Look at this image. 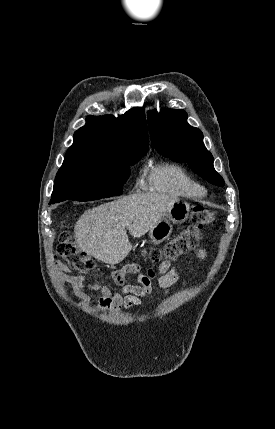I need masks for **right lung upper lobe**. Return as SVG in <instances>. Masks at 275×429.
<instances>
[{"mask_svg": "<svg viewBox=\"0 0 275 429\" xmlns=\"http://www.w3.org/2000/svg\"><path fill=\"white\" fill-rule=\"evenodd\" d=\"M148 132L142 108H132L118 118L89 116L86 125L74 133L65 160L112 158L129 153L146 154Z\"/></svg>", "mask_w": 275, "mask_h": 429, "instance_id": "cb5924a9", "label": "right lung upper lobe"}]
</instances>
